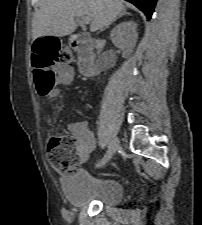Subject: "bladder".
<instances>
[{
	"label": "bladder",
	"mask_w": 202,
	"mask_h": 225,
	"mask_svg": "<svg viewBox=\"0 0 202 225\" xmlns=\"http://www.w3.org/2000/svg\"><path fill=\"white\" fill-rule=\"evenodd\" d=\"M67 201L77 208L92 202L115 207L124 202L125 189L117 178L80 170L62 180Z\"/></svg>",
	"instance_id": "1"
}]
</instances>
